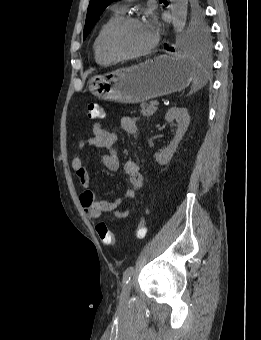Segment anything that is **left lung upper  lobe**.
<instances>
[{"instance_id":"left-lung-upper-lobe-1","label":"left lung upper lobe","mask_w":261,"mask_h":340,"mask_svg":"<svg viewBox=\"0 0 261 340\" xmlns=\"http://www.w3.org/2000/svg\"><path fill=\"white\" fill-rule=\"evenodd\" d=\"M116 0H90L84 27L85 40L105 8ZM185 42L193 48L207 50L210 47L209 28L204 19L199 0H188Z\"/></svg>"}]
</instances>
